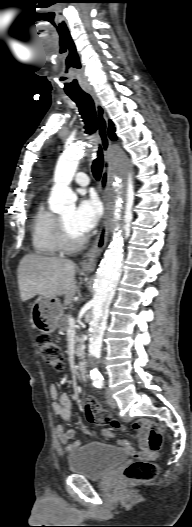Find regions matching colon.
<instances>
[{"mask_svg":"<svg viewBox=\"0 0 192 527\" xmlns=\"http://www.w3.org/2000/svg\"><path fill=\"white\" fill-rule=\"evenodd\" d=\"M36 344L44 361L56 370H62L64 367V358L60 347L46 333H39L36 336ZM85 413L87 420L95 425H111L119 428L120 424L112 420L110 414L103 409L94 398H88L85 404ZM145 430L147 445L150 450L158 451L163 446L164 435L162 429L155 423L136 422ZM158 474V465L155 463L141 464L135 461L128 465L124 470V478L130 482H149L153 481Z\"/></svg>","mask_w":192,"mask_h":527,"instance_id":"obj_1","label":"colon"}]
</instances>
